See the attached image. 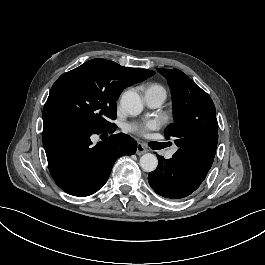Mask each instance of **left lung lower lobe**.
<instances>
[{
  "mask_svg": "<svg viewBox=\"0 0 265 265\" xmlns=\"http://www.w3.org/2000/svg\"><path fill=\"white\" fill-rule=\"evenodd\" d=\"M158 159V167L149 173L148 182L160 196L183 199L198 189L205 179L178 159H164L162 156Z\"/></svg>",
  "mask_w": 265,
  "mask_h": 265,
  "instance_id": "0a47b994",
  "label": "left lung lower lobe"
}]
</instances>
